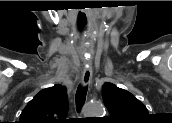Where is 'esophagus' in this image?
I'll return each instance as SVG.
<instances>
[{"label": "esophagus", "instance_id": "obj_1", "mask_svg": "<svg viewBox=\"0 0 172 123\" xmlns=\"http://www.w3.org/2000/svg\"><path fill=\"white\" fill-rule=\"evenodd\" d=\"M91 83H92V69L84 68L83 74H82V85L90 86Z\"/></svg>", "mask_w": 172, "mask_h": 123}]
</instances>
